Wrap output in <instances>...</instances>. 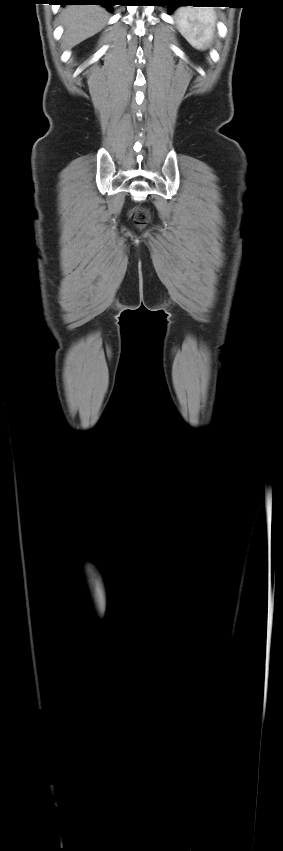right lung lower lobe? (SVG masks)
Instances as JSON below:
<instances>
[{
	"mask_svg": "<svg viewBox=\"0 0 283 851\" xmlns=\"http://www.w3.org/2000/svg\"><path fill=\"white\" fill-rule=\"evenodd\" d=\"M61 5H102L107 8L108 11L113 12L112 5L117 2V0H56Z\"/></svg>",
	"mask_w": 283,
	"mask_h": 851,
	"instance_id": "right-lung-lower-lobe-1",
	"label": "right lung lower lobe"
}]
</instances>
